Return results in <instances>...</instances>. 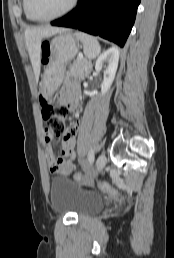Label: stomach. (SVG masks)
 Masks as SVG:
<instances>
[{
    "label": "stomach",
    "mask_w": 174,
    "mask_h": 258,
    "mask_svg": "<svg viewBox=\"0 0 174 258\" xmlns=\"http://www.w3.org/2000/svg\"><path fill=\"white\" fill-rule=\"evenodd\" d=\"M77 53V41L70 32L62 33L50 41L48 62L45 64L41 81V92L46 99H49L60 86L64 78L65 65L74 59Z\"/></svg>",
    "instance_id": "stomach-1"
}]
</instances>
